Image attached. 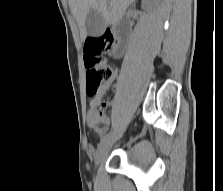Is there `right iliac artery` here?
Listing matches in <instances>:
<instances>
[{
  "label": "right iliac artery",
  "mask_w": 223,
  "mask_h": 191,
  "mask_svg": "<svg viewBox=\"0 0 223 191\" xmlns=\"http://www.w3.org/2000/svg\"><path fill=\"white\" fill-rule=\"evenodd\" d=\"M110 137H111V133L106 134L105 136H103V137L101 138V142H100V143H102V142L108 140Z\"/></svg>",
  "instance_id": "82829eb1"
}]
</instances>
